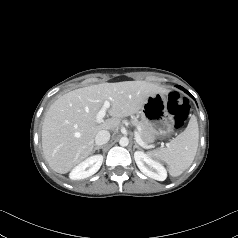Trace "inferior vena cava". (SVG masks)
Wrapping results in <instances>:
<instances>
[{"mask_svg": "<svg viewBox=\"0 0 238 238\" xmlns=\"http://www.w3.org/2000/svg\"><path fill=\"white\" fill-rule=\"evenodd\" d=\"M110 139V133L107 130L99 131L95 136V143L98 146L106 144Z\"/></svg>", "mask_w": 238, "mask_h": 238, "instance_id": "inferior-vena-cava-1", "label": "inferior vena cava"}]
</instances>
